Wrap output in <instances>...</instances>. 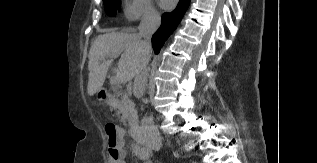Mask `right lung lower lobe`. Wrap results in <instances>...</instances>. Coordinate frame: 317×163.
Instances as JSON below:
<instances>
[{"instance_id": "1", "label": "right lung lower lobe", "mask_w": 317, "mask_h": 163, "mask_svg": "<svg viewBox=\"0 0 317 163\" xmlns=\"http://www.w3.org/2000/svg\"><path fill=\"white\" fill-rule=\"evenodd\" d=\"M190 0H180L176 9L171 13H164L162 15L161 26L152 37V45L156 54L159 53L165 40L176 29L180 23L185 11L189 6Z\"/></svg>"}]
</instances>
